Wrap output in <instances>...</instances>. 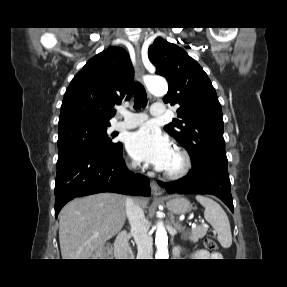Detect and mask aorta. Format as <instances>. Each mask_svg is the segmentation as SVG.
<instances>
[{
    "label": "aorta",
    "instance_id": "obj_1",
    "mask_svg": "<svg viewBox=\"0 0 287 287\" xmlns=\"http://www.w3.org/2000/svg\"><path fill=\"white\" fill-rule=\"evenodd\" d=\"M148 88L152 93L165 94L168 90V85L164 79H154L150 82ZM155 243L157 247L156 259H168V237L161 221L157 224Z\"/></svg>",
    "mask_w": 287,
    "mask_h": 287
}]
</instances>
